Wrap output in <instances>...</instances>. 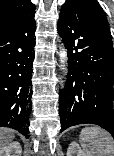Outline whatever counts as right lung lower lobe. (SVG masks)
I'll use <instances>...</instances> for the list:
<instances>
[{"mask_svg": "<svg viewBox=\"0 0 114 156\" xmlns=\"http://www.w3.org/2000/svg\"><path fill=\"white\" fill-rule=\"evenodd\" d=\"M35 11L0 28V127L29 135Z\"/></svg>", "mask_w": 114, "mask_h": 156, "instance_id": "98d812e1", "label": "right lung lower lobe"}]
</instances>
